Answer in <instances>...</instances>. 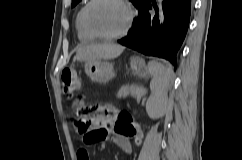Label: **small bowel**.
Segmentation results:
<instances>
[{"label": "small bowel", "mask_w": 242, "mask_h": 160, "mask_svg": "<svg viewBox=\"0 0 242 160\" xmlns=\"http://www.w3.org/2000/svg\"><path fill=\"white\" fill-rule=\"evenodd\" d=\"M110 123H112V112L106 111L101 115L100 118L94 119L92 121V127L94 129H99L101 131H107V128H106L107 124H110ZM129 137L135 138L136 141L139 142V139L142 137V133L140 131H137L136 128H135V132L130 134L121 133L114 129L110 135L111 141L126 153H131L132 151V145L129 140ZM77 160H89V154L85 148H81L77 152Z\"/></svg>", "instance_id": "obj_1"}]
</instances>
